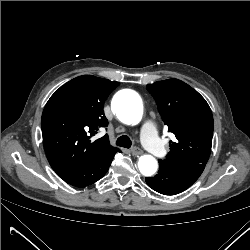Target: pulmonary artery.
<instances>
[{
  "label": "pulmonary artery",
  "instance_id": "1",
  "mask_svg": "<svg viewBox=\"0 0 250 250\" xmlns=\"http://www.w3.org/2000/svg\"><path fill=\"white\" fill-rule=\"evenodd\" d=\"M141 138L147 150L155 157H161L165 153V148L157 135L153 124L147 123L141 129Z\"/></svg>",
  "mask_w": 250,
  "mask_h": 250
}]
</instances>
